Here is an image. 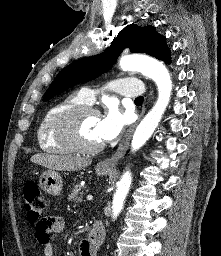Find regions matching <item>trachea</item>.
<instances>
[{"label":"trachea","mask_w":221,"mask_h":256,"mask_svg":"<svg viewBox=\"0 0 221 256\" xmlns=\"http://www.w3.org/2000/svg\"><path fill=\"white\" fill-rule=\"evenodd\" d=\"M144 98L141 96V97H137L135 99L136 102H143Z\"/></svg>","instance_id":"1"}]
</instances>
